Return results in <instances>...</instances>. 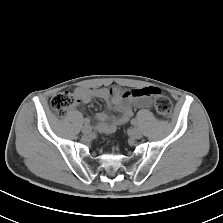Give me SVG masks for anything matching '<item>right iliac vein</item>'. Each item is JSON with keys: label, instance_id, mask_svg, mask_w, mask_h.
<instances>
[{"label": "right iliac vein", "instance_id": "63e3f726", "mask_svg": "<svg viewBox=\"0 0 223 223\" xmlns=\"http://www.w3.org/2000/svg\"><path fill=\"white\" fill-rule=\"evenodd\" d=\"M82 132L84 134H90L91 133V126L89 125H84L83 128H82Z\"/></svg>", "mask_w": 223, "mask_h": 223}]
</instances>
